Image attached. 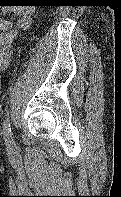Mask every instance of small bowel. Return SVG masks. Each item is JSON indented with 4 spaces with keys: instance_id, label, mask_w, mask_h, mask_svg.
I'll return each instance as SVG.
<instances>
[{
    "instance_id": "c3829d8e",
    "label": "small bowel",
    "mask_w": 121,
    "mask_h": 197,
    "mask_svg": "<svg viewBox=\"0 0 121 197\" xmlns=\"http://www.w3.org/2000/svg\"><path fill=\"white\" fill-rule=\"evenodd\" d=\"M10 11H14L18 19L13 24L0 17V70H4L9 65L13 55V43L18 33L26 30L31 21V11L25 6L1 5V13Z\"/></svg>"
}]
</instances>
